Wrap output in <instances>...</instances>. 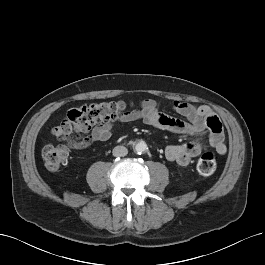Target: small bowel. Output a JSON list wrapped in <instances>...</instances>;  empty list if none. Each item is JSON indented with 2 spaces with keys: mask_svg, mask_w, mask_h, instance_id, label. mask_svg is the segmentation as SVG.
I'll use <instances>...</instances> for the list:
<instances>
[{
  "mask_svg": "<svg viewBox=\"0 0 265 265\" xmlns=\"http://www.w3.org/2000/svg\"><path fill=\"white\" fill-rule=\"evenodd\" d=\"M172 108L176 113L183 116L186 121L161 113L160 104L153 99H144L140 103L139 110L127 112L120 121L122 123L142 121L155 128L195 137H202L209 130L211 132L210 142L212 147L219 154L226 153L227 148L222 133L215 135L209 128L208 120L215 115L208 106H196L186 102L174 101ZM113 128L114 124L111 122L98 125L92 130L91 135L85 139V142H73L69 146L75 149H83L94 142H106L111 138ZM200 151L201 143L195 141L182 145H169L165 149V156L170 162L186 166Z\"/></svg>",
  "mask_w": 265,
  "mask_h": 265,
  "instance_id": "1",
  "label": "small bowel"
}]
</instances>
